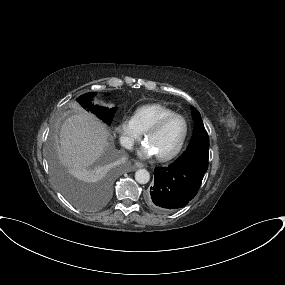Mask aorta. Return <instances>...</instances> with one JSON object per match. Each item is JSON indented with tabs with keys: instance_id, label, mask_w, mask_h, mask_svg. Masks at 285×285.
Instances as JSON below:
<instances>
[{
	"instance_id": "1",
	"label": "aorta",
	"mask_w": 285,
	"mask_h": 285,
	"mask_svg": "<svg viewBox=\"0 0 285 285\" xmlns=\"http://www.w3.org/2000/svg\"><path fill=\"white\" fill-rule=\"evenodd\" d=\"M135 180L140 184H146L150 180V174L146 169H139L135 173Z\"/></svg>"
}]
</instances>
